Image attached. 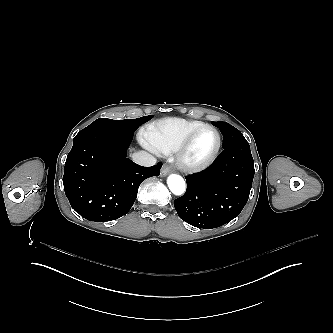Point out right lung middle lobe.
Returning a JSON list of instances; mask_svg holds the SVG:
<instances>
[{
  "mask_svg": "<svg viewBox=\"0 0 333 333\" xmlns=\"http://www.w3.org/2000/svg\"><path fill=\"white\" fill-rule=\"evenodd\" d=\"M152 116H144L137 119L112 120L99 118L86 128H103L124 134L133 135L135 130L143 123L149 121Z\"/></svg>",
  "mask_w": 333,
  "mask_h": 333,
  "instance_id": "dd1d6c3e",
  "label": "right lung middle lobe"
}]
</instances>
